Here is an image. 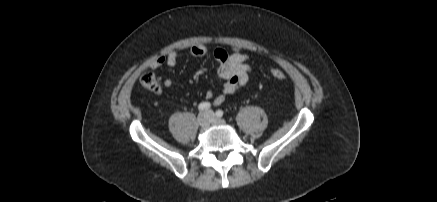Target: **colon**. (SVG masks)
<instances>
[{"mask_svg": "<svg viewBox=\"0 0 437 202\" xmlns=\"http://www.w3.org/2000/svg\"><path fill=\"white\" fill-rule=\"evenodd\" d=\"M271 75L277 80H284L286 78V74L279 69H272ZM140 82L144 88L150 91L157 92L160 89L159 81L151 71H145L140 77Z\"/></svg>", "mask_w": 437, "mask_h": 202, "instance_id": "obj_1", "label": "colon"}]
</instances>
